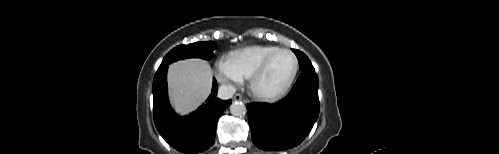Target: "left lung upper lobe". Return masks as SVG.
I'll list each match as a JSON object with an SVG mask.
<instances>
[{
	"label": "left lung upper lobe",
	"mask_w": 499,
	"mask_h": 154,
	"mask_svg": "<svg viewBox=\"0 0 499 154\" xmlns=\"http://www.w3.org/2000/svg\"><path fill=\"white\" fill-rule=\"evenodd\" d=\"M294 52L298 58V61L300 64V70L302 72H314L315 71L310 60L308 59V57L304 53H302L298 50H296V51L294 50Z\"/></svg>",
	"instance_id": "obj_1"
}]
</instances>
